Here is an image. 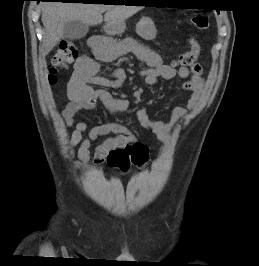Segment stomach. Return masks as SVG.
<instances>
[{"label":"stomach","instance_id":"0dacf381","mask_svg":"<svg viewBox=\"0 0 259 266\" xmlns=\"http://www.w3.org/2000/svg\"><path fill=\"white\" fill-rule=\"evenodd\" d=\"M125 30V23L119 22L116 23L107 29V33L114 35L120 34ZM137 33L144 38L145 40H152L156 36V28L154 22L149 18H143L136 27Z\"/></svg>","mask_w":259,"mask_h":266}]
</instances>
